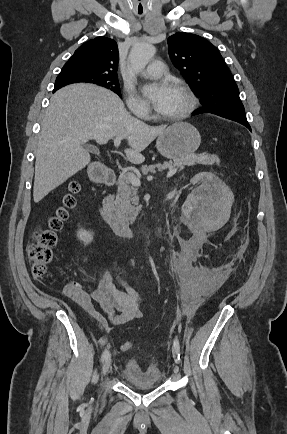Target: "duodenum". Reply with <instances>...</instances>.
Here are the masks:
<instances>
[{
  "instance_id": "obj_1",
  "label": "duodenum",
  "mask_w": 287,
  "mask_h": 434,
  "mask_svg": "<svg viewBox=\"0 0 287 434\" xmlns=\"http://www.w3.org/2000/svg\"><path fill=\"white\" fill-rule=\"evenodd\" d=\"M90 175L93 180L104 183L109 187L115 184L117 178L116 173L112 169L102 166L91 167ZM101 215L116 235L129 239L135 237V232L130 228L129 223L115 213L114 198L112 195H108L103 199Z\"/></svg>"
}]
</instances>
